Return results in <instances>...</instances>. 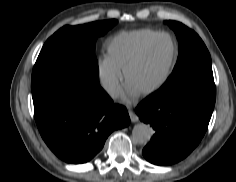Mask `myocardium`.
<instances>
[{
  "instance_id": "myocardium-1",
  "label": "myocardium",
  "mask_w": 236,
  "mask_h": 182,
  "mask_svg": "<svg viewBox=\"0 0 236 182\" xmlns=\"http://www.w3.org/2000/svg\"><path fill=\"white\" fill-rule=\"evenodd\" d=\"M169 41H170V44H171V47H170L171 56H170V61H169L168 67H167L164 75L155 84H153L149 87H146L144 89H140L141 92H149V91L153 90L154 88L159 86L167 78V76L169 75V73L171 71V68H172V65H173L172 60H174V56H175L174 44H173L172 39L170 37H169ZM148 48L149 47H147L144 50V52L137 59H135L133 62L129 63L127 65V67L125 68V75H126V78H127L129 83H132L131 82V73H132L133 69L135 67H137V65L145 58V56L148 52Z\"/></svg>"
}]
</instances>
